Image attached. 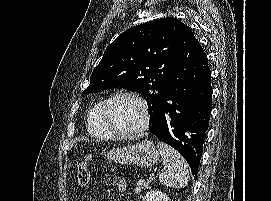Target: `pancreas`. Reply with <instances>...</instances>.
<instances>
[{
    "label": "pancreas",
    "mask_w": 271,
    "mask_h": 201,
    "mask_svg": "<svg viewBox=\"0 0 271 201\" xmlns=\"http://www.w3.org/2000/svg\"><path fill=\"white\" fill-rule=\"evenodd\" d=\"M148 182L145 180H139L136 184L135 192L140 193L143 189H145L148 186Z\"/></svg>",
    "instance_id": "cf45deb5"
}]
</instances>
